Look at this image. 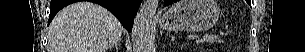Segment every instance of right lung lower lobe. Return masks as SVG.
<instances>
[{
    "label": "right lung lower lobe",
    "instance_id": "1",
    "mask_svg": "<svg viewBox=\"0 0 305 52\" xmlns=\"http://www.w3.org/2000/svg\"><path fill=\"white\" fill-rule=\"evenodd\" d=\"M81 0H51L48 24L54 16L65 6ZM97 3L108 9L121 22L123 27L131 31L134 15L142 0H82Z\"/></svg>",
    "mask_w": 305,
    "mask_h": 52
}]
</instances>
